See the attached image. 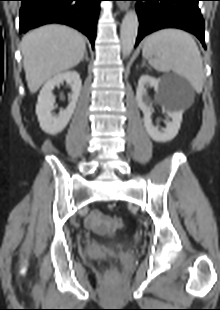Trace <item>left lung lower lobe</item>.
Here are the masks:
<instances>
[{"label": "left lung lower lobe", "mask_w": 220, "mask_h": 310, "mask_svg": "<svg viewBox=\"0 0 220 310\" xmlns=\"http://www.w3.org/2000/svg\"><path fill=\"white\" fill-rule=\"evenodd\" d=\"M140 21L136 45L148 34L163 28L190 32L204 42V20L198 7L200 0H134ZM144 2V3H142Z\"/></svg>", "instance_id": "0a47b994"}]
</instances>
